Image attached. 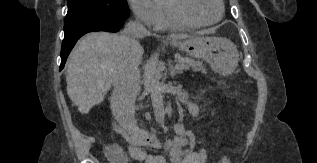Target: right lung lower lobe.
<instances>
[{
    "mask_svg": "<svg viewBox=\"0 0 317 163\" xmlns=\"http://www.w3.org/2000/svg\"><path fill=\"white\" fill-rule=\"evenodd\" d=\"M124 20L115 17L100 18L65 32L61 48L60 70L63 69L70 51L81 36L92 31L117 32L123 26Z\"/></svg>",
    "mask_w": 317,
    "mask_h": 163,
    "instance_id": "98d812e1",
    "label": "right lung lower lobe"
}]
</instances>
